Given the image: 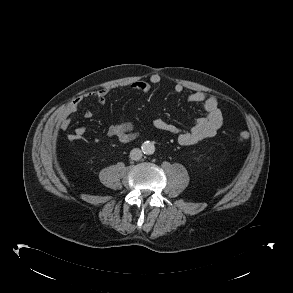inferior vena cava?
Wrapping results in <instances>:
<instances>
[{"mask_svg": "<svg viewBox=\"0 0 293 293\" xmlns=\"http://www.w3.org/2000/svg\"><path fill=\"white\" fill-rule=\"evenodd\" d=\"M130 158L132 160H139L142 157V152L139 148H134L130 151Z\"/></svg>", "mask_w": 293, "mask_h": 293, "instance_id": "obj_1", "label": "inferior vena cava"}]
</instances>
